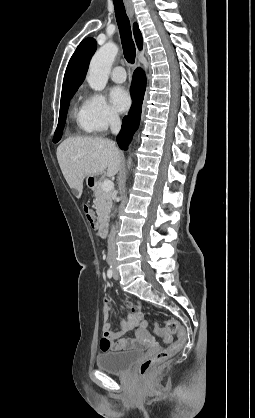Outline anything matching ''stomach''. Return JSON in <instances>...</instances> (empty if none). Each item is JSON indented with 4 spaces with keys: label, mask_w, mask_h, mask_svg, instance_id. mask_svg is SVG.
<instances>
[{
    "label": "stomach",
    "mask_w": 255,
    "mask_h": 418,
    "mask_svg": "<svg viewBox=\"0 0 255 418\" xmlns=\"http://www.w3.org/2000/svg\"><path fill=\"white\" fill-rule=\"evenodd\" d=\"M86 183L88 187H90L91 189H95V187L97 186L99 182L96 176H88L86 179Z\"/></svg>",
    "instance_id": "0dacf381"
}]
</instances>
